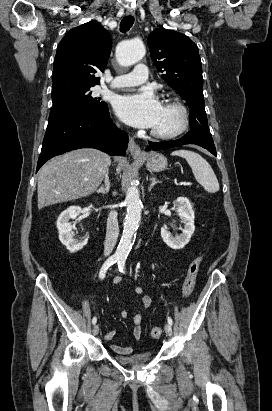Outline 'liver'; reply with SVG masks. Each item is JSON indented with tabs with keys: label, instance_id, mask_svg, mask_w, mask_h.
<instances>
[{
	"label": "liver",
	"instance_id": "obj_1",
	"mask_svg": "<svg viewBox=\"0 0 272 411\" xmlns=\"http://www.w3.org/2000/svg\"><path fill=\"white\" fill-rule=\"evenodd\" d=\"M110 164L108 154L92 148L73 150L53 158L38 173V208L92 194ZM121 166L119 162V170Z\"/></svg>",
	"mask_w": 272,
	"mask_h": 411
}]
</instances>
